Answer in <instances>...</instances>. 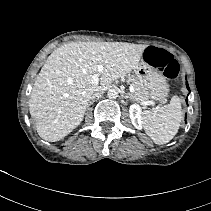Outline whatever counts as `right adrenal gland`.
<instances>
[{
	"mask_svg": "<svg viewBox=\"0 0 211 211\" xmlns=\"http://www.w3.org/2000/svg\"><path fill=\"white\" fill-rule=\"evenodd\" d=\"M93 102H94V100L89 101V103H88V106H87V107H89L91 104H93Z\"/></svg>",
	"mask_w": 211,
	"mask_h": 211,
	"instance_id": "1",
	"label": "right adrenal gland"
}]
</instances>
